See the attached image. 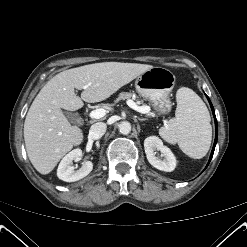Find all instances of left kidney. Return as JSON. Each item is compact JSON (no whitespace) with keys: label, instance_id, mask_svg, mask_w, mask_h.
Instances as JSON below:
<instances>
[{"label":"left kidney","instance_id":"1","mask_svg":"<svg viewBox=\"0 0 247 247\" xmlns=\"http://www.w3.org/2000/svg\"><path fill=\"white\" fill-rule=\"evenodd\" d=\"M144 149L147 159L153 167L165 172H171L175 169L176 158L172 151L167 146L163 145V142L159 137H147L144 140ZM156 150L162 153V156L164 157L163 160L156 155Z\"/></svg>","mask_w":247,"mask_h":247}]
</instances>
